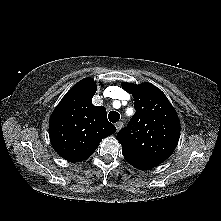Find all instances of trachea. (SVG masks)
<instances>
[{
    "instance_id": "1",
    "label": "trachea",
    "mask_w": 221,
    "mask_h": 221,
    "mask_svg": "<svg viewBox=\"0 0 221 221\" xmlns=\"http://www.w3.org/2000/svg\"><path fill=\"white\" fill-rule=\"evenodd\" d=\"M108 119L112 122V123H116L119 121L120 119V114L116 111H111L109 114H108Z\"/></svg>"
}]
</instances>
